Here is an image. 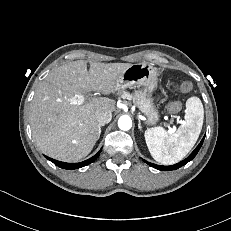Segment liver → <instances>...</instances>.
Wrapping results in <instances>:
<instances>
[{
  "label": "liver",
  "instance_id": "liver-1",
  "mask_svg": "<svg viewBox=\"0 0 231 231\" xmlns=\"http://www.w3.org/2000/svg\"><path fill=\"white\" fill-rule=\"evenodd\" d=\"M132 64L78 60L53 70L38 86L30 105L29 119L37 147L64 162L86 157L99 139L97 110H115V101L94 98L72 104L75 95L98 91L109 95L116 90L118 76Z\"/></svg>",
  "mask_w": 231,
  "mask_h": 231
}]
</instances>
